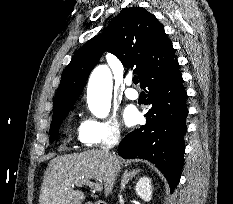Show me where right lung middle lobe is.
<instances>
[{
    "mask_svg": "<svg viewBox=\"0 0 233 204\" xmlns=\"http://www.w3.org/2000/svg\"><path fill=\"white\" fill-rule=\"evenodd\" d=\"M68 112L69 111H67L63 115L52 120V123L50 125V142H53L57 139L59 127H60L62 121L67 116Z\"/></svg>",
    "mask_w": 233,
    "mask_h": 204,
    "instance_id": "dd1d6c3e",
    "label": "right lung middle lobe"
}]
</instances>
